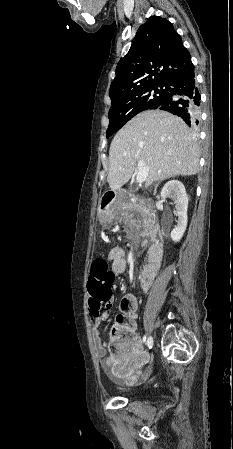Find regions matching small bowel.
<instances>
[{"instance_id": "obj_1", "label": "small bowel", "mask_w": 233, "mask_h": 449, "mask_svg": "<svg viewBox=\"0 0 233 449\" xmlns=\"http://www.w3.org/2000/svg\"><path fill=\"white\" fill-rule=\"evenodd\" d=\"M107 258L111 263L110 277L114 279L126 271L125 251L120 246L110 249ZM141 291L148 289L152 281L155 280L154 272H140L138 274ZM105 310L98 315L91 317V334L94 349L102 366L110 368L111 372L118 378L126 382H134L140 376V367L146 363L148 356L142 349L141 339L134 334V344L125 350H117L115 353H108L107 345L100 338V325L110 316L111 303L105 304Z\"/></svg>"}]
</instances>
